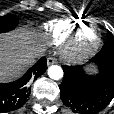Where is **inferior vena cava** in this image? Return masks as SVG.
<instances>
[{"label":"inferior vena cava","mask_w":114,"mask_h":114,"mask_svg":"<svg viewBox=\"0 0 114 114\" xmlns=\"http://www.w3.org/2000/svg\"><path fill=\"white\" fill-rule=\"evenodd\" d=\"M43 55V53L41 51H35L31 54H29L28 58L30 61H35L36 58H39Z\"/></svg>","instance_id":"obj_1"}]
</instances>
